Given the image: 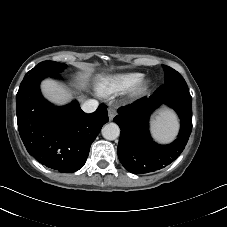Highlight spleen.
Listing matches in <instances>:
<instances>
[{
	"mask_svg": "<svg viewBox=\"0 0 227 227\" xmlns=\"http://www.w3.org/2000/svg\"><path fill=\"white\" fill-rule=\"evenodd\" d=\"M178 120L176 115L169 109H163L151 120V132L153 137L161 142H171L178 131Z\"/></svg>",
	"mask_w": 227,
	"mask_h": 227,
	"instance_id": "spleen-1",
	"label": "spleen"
}]
</instances>
